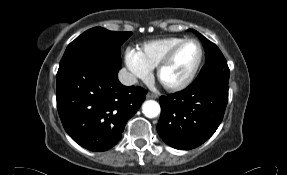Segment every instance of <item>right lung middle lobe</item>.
I'll return each mask as SVG.
<instances>
[{
	"label": "right lung middle lobe",
	"mask_w": 287,
	"mask_h": 175,
	"mask_svg": "<svg viewBox=\"0 0 287 175\" xmlns=\"http://www.w3.org/2000/svg\"><path fill=\"white\" fill-rule=\"evenodd\" d=\"M131 35V32H113L101 27L89 29L68 45L59 69L85 61L121 68L120 46Z\"/></svg>",
	"instance_id": "right-lung-middle-lobe-1"
}]
</instances>
